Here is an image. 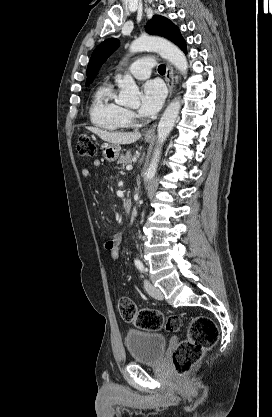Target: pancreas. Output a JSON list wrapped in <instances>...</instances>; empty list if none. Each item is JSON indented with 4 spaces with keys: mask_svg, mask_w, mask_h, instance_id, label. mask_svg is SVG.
I'll return each mask as SVG.
<instances>
[{
    "mask_svg": "<svg viewBox=\"0 0 272 417\" xmlns=\"http://www.w3.org/2000/svg\"><path fill=\"white\" fill-rule=\"evenodd\" d=\"M131 161H132V154L128 152L125 155H121L117 163L122 165V167H124L125 165L130 164Z\"/></svg>",
    "mask_w": 272,
    "mask_h": 417,
    "instance_id": "cf45deb5",
    "label": "pancreas"
}]
</instances>
